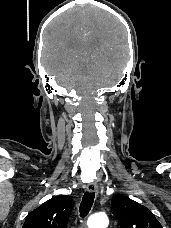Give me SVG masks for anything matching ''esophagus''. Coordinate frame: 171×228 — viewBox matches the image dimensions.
Wrapping results in <instances>:
<instances>
[{"mask_svg": "<svg viewBox=\"0 0 171 228\" xmlns=\"http://www.w3.org/2000/svg\"><path fill=\"white\" fill-rule=\"evenodd\" d=\"M87 192L98 194V186L95 182H90L86 187Z\"/></svg>", "mask_w": 171, "mask_h": 228, "instance_id": "34e87169", "label": "esophagus"}]
</instances>
